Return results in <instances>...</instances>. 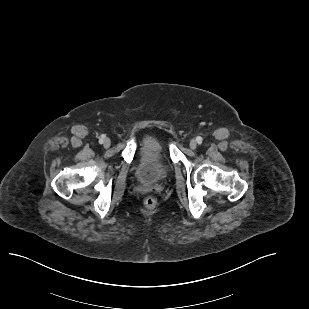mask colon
Returning a JSON list of instances; mask_svg holds the SVG:
<instances>
[{
  "instance_id": "colon-1",
  "label": "colon",
  "mask_w": 309,
  "mask_h": 309,
  "mask_svg": "<svg viewBox=\"0 0 309 309\" xmlns=\"http://www.w3.org/2000/svg\"><path fill=\"white\" fill-rule=\"evenodd\" d=\"M144 205L149 209H153L157 205V200L154 197H147L144 200Z\"/></svg>"
}]
</instances>
